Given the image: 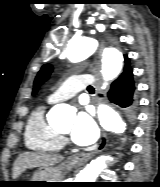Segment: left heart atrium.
<instances>
[{"mask_svg":"<svg viewBox=\"0 0 160 187\" xmlns=\"http://www.w3.org/2000/svg\"><path fill=\"white\" fill-rule=\"evenodd\" d=\"M99 136V129L87 110L78 113L71 130L72 141L81 146L93 144Z\"/></svg>","mask_w":160,"mask_h":187,"instance_id":"obj_1","label":"left heart atrium"}]
</instances>
